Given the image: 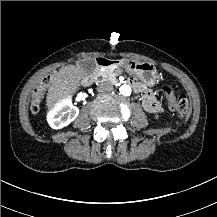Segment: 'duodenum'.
<instances>
[{
    "label": "duodenum",
    "instance_id": "410a0bca",
    "mask_svg": "<svg viewBox=\"0 0 217 217\" xmlns=\"http://www.w3.org/2000/svg\"><path fill=\"white\" fill-rule=\"evenodd\" d=\"M95 62L98 67H116L121 63L118 59H109L106 57H98L96 58ZM91 79L92 78H89V80Z\"/></svg>",
    "mask_w": 217,
    "mask_h": 217
}]
</instances>
